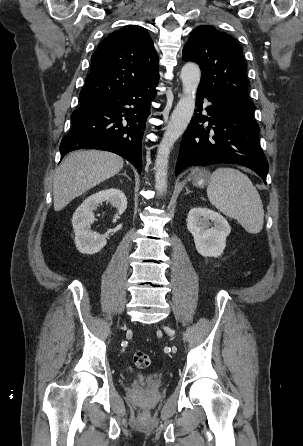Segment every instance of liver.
Segmentation results:
<instances>
[{
  "mask_svg": "<svg viewBox=\"0 0 303 446\" xmlns=\"http://www.w3.org/2000/svg\"><path fill=\"white\" fill-rule=\"evenodd\" d=\"M123 164V159L111 152L81 150L70 153L55 173L54 210H62L74 198L116 175Z\"/></svg>",
  "mask_w": 303,
  "mask_h": 446,
  "instance_id": "6515ba94",
  "label": "liver"
}]
</instances>
